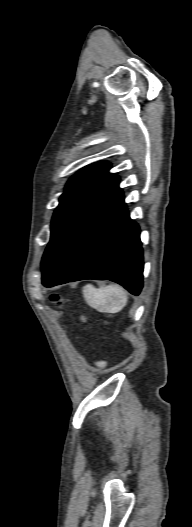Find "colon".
<instances>
[{
  "label": "colon",
  "instance_id": "1",
  "mask_svg": "<svg viewBox=\"0 0 192 527\" xmlns=\"http://www.w3.org/2000/svg\"><path fill=\"white\" fill-rule=\"evenodd\" d=\"M51 300L57 305V306H61L63 304V300L62 298L57 295V294H53L51 296ZM84 319V318H83Z\"/></svg>",
  "mask_w": 192,
  "mask_h": 527
}]
</instances>
